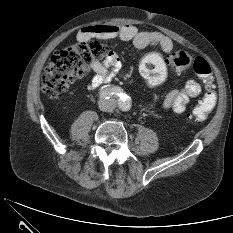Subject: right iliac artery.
I'll return each instance as SVG.
<instances>
[{
	"mask_svg": "<svg viewBox=\"0 0 233 233\" xmlns=\"http://www.w3.org/2000/svg\"><path fill=\"white\" fill-rule=\"evenodd\" d=\"M115 96L118 98V104H121L122 101L127 97L123 90L119 87H107L100 93L101 99H109L110 97Z\"/></svg>",
	"mask_w": 233,
	"mask_h": 233,
	"instance_id": "1",
	"label": "right iliac artery"
}]
</instances>
